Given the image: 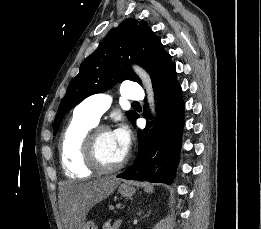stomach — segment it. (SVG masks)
I'll list each match as a JSON object with an SVG mask.
<instances>
[{"instance_id": "1", "label": "stomach", "mask_w": 261, "mask_h": 229, "mask_svg": "<svg viewBox=\"0 0 261 229\" xmlns=\"http://www.w3.org/2000/svg\"><path fill=\"white\" fill-rule=\"evenodd\" d=\"M147 193H149V191H151V189H146ZM119 193L120 195H122V197H129V199H131V197H133L134 193H135V189H133V187H130V185H126V187H123V185H121V187H119ZM83 229H97L95 223H93V221H88V223H85V225H83Z\"/></svg>"}]
</instances>
